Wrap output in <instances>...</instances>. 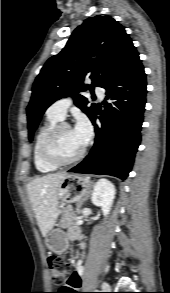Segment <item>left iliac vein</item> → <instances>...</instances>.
Wrapping results in <instances>:
<instances>
[{
  "label": "left iliac vein",
  "instance_id": "1",
  "mask_svg": "<svg viewBox=\"0 0 170 293\" xmlns=\"http://www.w3.org/2000/svg\"><path fill=\"white\" fill-rule=\"evenodd\" d=\"M102 288L110 289V285H109V283H107V282H103V283H102Z\"/></svg>",
  "mask_w": 170,
  "mask_h": 293
}]
</instances>
